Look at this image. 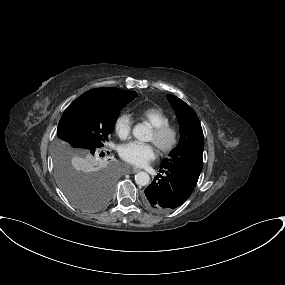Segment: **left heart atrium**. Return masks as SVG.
Segmentation results:
<instances>
[{
  "mask_svg": "<svg viewBox=\"0 0 285 285\" xmlns=\"http://www.w3.org/2000/svg\"><path fill=\"white\" fill-rule=\"evenodd\" d=\"M120 156L126 162L141 167L156 157V148L151 143L131 142L121 147Z\"/></svg>",
  "mask_w": 285,
  "mask_h": 285,
  "instance_id": "obj_1",
  "label": "left heart atrium"
}]
</instances>
